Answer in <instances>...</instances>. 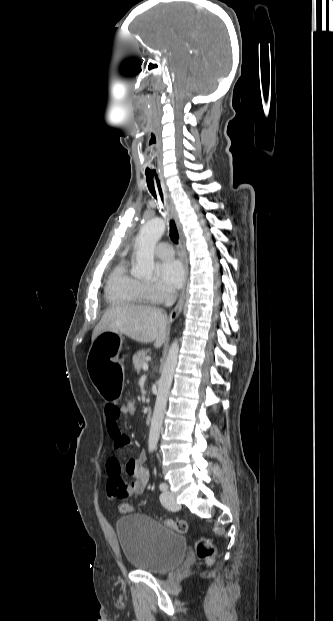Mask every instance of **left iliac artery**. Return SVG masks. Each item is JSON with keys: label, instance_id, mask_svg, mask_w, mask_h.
I'll list each match as a JSON object with an SVG mask.
<instances>
[{"label": "left iliac artery", "instance_id": "left-iliac-artery-1", "mask_svg": "<svg viewBox=\"0 0 333 621\" xmlns=\"http://www.w3.org/2000/svg\"><path fill=\"white\" fill-rule=\"evenodd\" d=\"M167 488H168V487H167V484H166V483H164V482L160 483V485H159V489H160L161 491H165Z\"/></svg>", "mask_w": 333, "mask_h": 621}]
</instances>
